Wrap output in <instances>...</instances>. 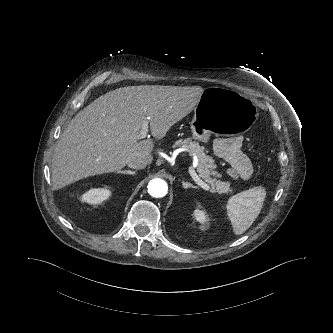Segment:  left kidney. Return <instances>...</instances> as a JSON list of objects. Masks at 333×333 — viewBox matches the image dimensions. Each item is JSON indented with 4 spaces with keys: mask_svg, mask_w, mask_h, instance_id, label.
Returning <instances> with one entry per match:
<instances>
[{
    "mask_svg": "<svg viewBox=\"0 0 333 333\" xmlns=\"http://www.w3.org/2000/svg\"><path fill=\"white\" fill-rule=\"evenodd\" d=\"M193 215L195 219L201 224H205L207 222V215L203 210L198 208L194 211Z\"/></svg>",
    "mask_w": 333,
    "mask_h": 333,
    "instance_id": "obj_1",
    "label": "left kidney"
}]
</instances>
